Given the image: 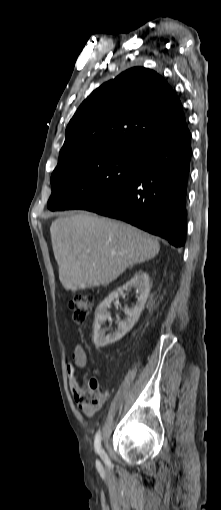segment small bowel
Masks as SVG:
<instances>
[{"label": "small bowel", "instance_id": "obj_1", "mask_svg": "<svg viewBox=\"0 0 221 510\" xmlns=\"http://www.w3.org/2000/svg\"><path fill=\"white\" fill-rule=\"evenodd\" d=\"M87 365V355L84 350V348L77 344L72 352V355L70 357V360L67 363V373L69 378V387L70 391L72 393V396L77 403L78 407L83 411V413L91 417L95 414L96 411H91L86 409L80 401L81 394H82V382L81 379L77 376V370H83L86 368Z\"/></svg>", "mask_w": 221, "mask_h": 510}]
</instances>
